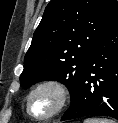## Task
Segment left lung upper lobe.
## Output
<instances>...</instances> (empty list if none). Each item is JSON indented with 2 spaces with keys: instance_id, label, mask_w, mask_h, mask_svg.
Listing matches in <instances>:
<instances>
[{
  "instance_id": "1",
  "label": "left lung upper lobe",
  "mask_w": 118,
  "mask_h": 123,
  "mask_svg": "<svg viewBox=\"0 0 118 123\" xmlns=\"http://www.w3.org/2000/svg\"><path fill=\"white\" fill-rule=\"evenodd\" d=\"M117 19L116 0H51L25 55L21 86L56 80L72 100L95 44Z\"/></svg>"
}]
</instances>
